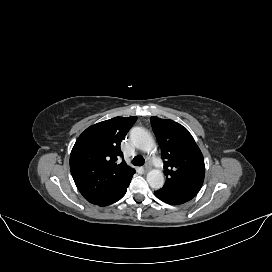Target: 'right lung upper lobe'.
I'll return each mask as SVG.
<instances>
[{
	"mask_svg": "<svg viewBox=\"0 0 272 272\" xmlns=\"http://www.w3.org/2000/svg\"><path fill=\"white\" fill-rule=\"evenodd\" d=\"M137 117H115L88 127L75 142L70 155V170L83 197L99 204L117 193L132 178L120 150L121 141Z\"/></svg>",
	"mask_w": 272,
	"mask_h": 272,
	"instance_id": "cb5924a9",
	"label": "right lung upper lobe"
}]
</instances>
